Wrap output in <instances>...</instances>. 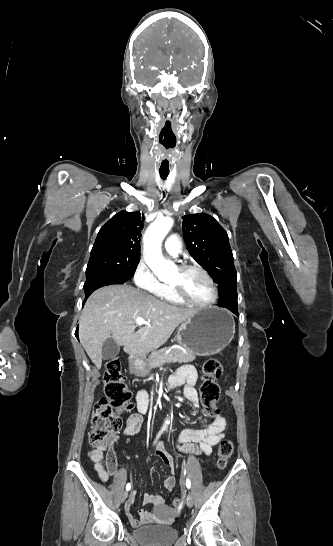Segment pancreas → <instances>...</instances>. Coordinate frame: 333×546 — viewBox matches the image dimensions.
<instances>
[{
  "label": "pancreas",
  "mask_w": 333,
  "mask_h": 546,
  "mask_svg": "<svg viewBox=\"0 0 333 546\" xmlns=\"http://www.w3.org/2000/svg\"><path fill=\"white\" fill-rule=\"evenodd\" d=\"M195 359V354L192 352H184L181 349H172L168 347L153 351L147 359L149 369H154L162 366L165 363H188Z\"/></svg>",
  "instance_id": "pancreas-1"
}]
</instances>
